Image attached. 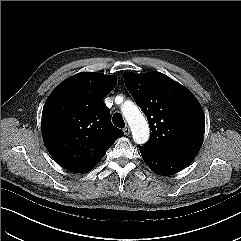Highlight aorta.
Returning <instances> with one entry per match:
<instances>
[{"label": "aorta", "mask_w": 241, "mask_h": 241, "mask_svg": "<svg viewBox=\"0 0 241 241\" xmlns=\"http://www.w3.org/2000/svg\"><path fill=\"white\" fill-rule=\"evenodd\" d=\"M122 114L125 117L132 131L135 143L145 144L150 136L149 125L137 105L128 102L122 106Z\"/></svg>", "instance_id": "1"}]
</instances>
